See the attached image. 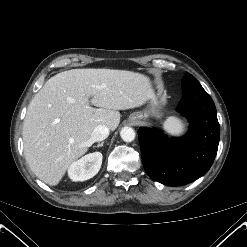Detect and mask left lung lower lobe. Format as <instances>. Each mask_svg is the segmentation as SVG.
<instances>
[{
    "label": "left lung lower lobe",
    "mask_w": 247,
    "mask_h": 247,
    "mask_svg": "<svg viewBox=\"0 0 247 247\" xmlns=\"http://www.w3.org/2000/svg\"><path fill=\"white\" fill-rule=\"evenodd\" d=\"M179 111L191 123L183 138L170 141L158 130L138 131L146 172L168 186L185 185L203 176L213 164L220 138L214 102L196 78L183 80Z\"/></svg>",
    "instance_id": "0a47b994"
}]
</instances>
